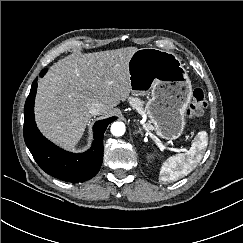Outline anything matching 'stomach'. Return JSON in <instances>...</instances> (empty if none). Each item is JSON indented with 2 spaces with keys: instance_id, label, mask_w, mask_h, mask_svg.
<instances>
[{
  "instance_id": "stomach-1",
  "label": "stomach",
  "mask_w": 243,
  "mask_h": 243,
  "mask_svg": "<svg viewBox=\"0 0 243 243\" xmlns=\"http://www.w3.org/2000/svg\"><path fill=\"white\" fill-rule=\"evenodd\" d=\"M128 68L132 93L151 95L146 113L157 135L168 140L179 138L192 96L191 81L181 60L172 52L141 48L132 54Z\"/></svg>"
}]
</instances>
